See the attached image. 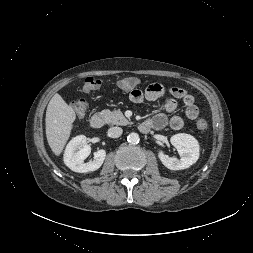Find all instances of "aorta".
Segmentation results:
<instances>
[{
    "label": "aorta",
    "instance_id": "aorta-1",
    "mask_svg": "<svg viewBox=\"0 0 253 253\" xmlns=\"http://www.w3.org/2000/svg\"><path fill=\"white\" fill-rule=\"evenodd\" d=\"M127 141L131 144H137L140 141L139 135L135 132H132L127 136Z\"/></svg>",
    "mask_w": 253,
    "mask_h": 253
}]
</instances>
